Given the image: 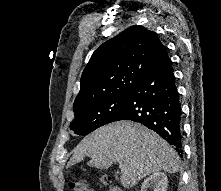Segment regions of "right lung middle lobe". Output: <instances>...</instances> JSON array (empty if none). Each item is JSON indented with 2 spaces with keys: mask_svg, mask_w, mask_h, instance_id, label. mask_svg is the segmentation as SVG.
<instances>
[{
  "mask_svg": "<svg viewBox=\"0 0 221 191\" xmlns=\"http://www.w3.org/2000/svg\"><path fill=\"white\" fill-rule=\"evenodd\" d=\"M131 92H122L74 112L75 118L70 123V129L77 135H87L105 124L116 121L123 112Z\"/></svg>",
  "mask_w": 221,
  "mask_h": 191,
  "instance_id": "obj_1",
  "label": "right lung middle lobe"
}]
</instances>
